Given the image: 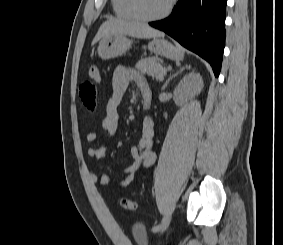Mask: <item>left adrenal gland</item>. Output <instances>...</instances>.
I'll return each instance as SVG.
<instances>
[{"label":"left adrenal gland","mask_w":283,"mask_h":245,"mask_svg":"<svg viewBox=\"0 0 283 245\" xmlns=\"http://www.w3.org/2000/svg\"><path fill=\"white\" fill-rule=\"evenodd\" d=\"M185 69H190V66L186 65L184 67H180V69L178 71H176L173 75H171L167 80L166 82L164 83L163 87H162V90H164L167 85L169 84V82L174 78L176 77L179 73H181L182 71H184Z\"/></svg>","instance_id":"left-adrenal-gland-1"}]
</instances>
